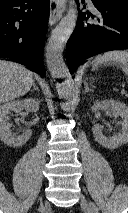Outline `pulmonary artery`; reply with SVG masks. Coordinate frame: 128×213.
Segmentation results:
<instances>
[{
	"instance_id": "obj_1",
	"label": "pulmonary artery",
	"mask_w": 128,
	"mask_h": 213,
	"mask_svg": "<svg viewBox=\"0 0 128 213\" xmlns=\"http://www.w3.org/2000/svg\"><path fill=\"white\" fill-rule=\"evenodd\" d=\"M88 2H89L90 7L94 8V5L92 4L91 0H88Z\"/></svg>"
}]
</instances>
